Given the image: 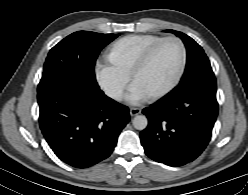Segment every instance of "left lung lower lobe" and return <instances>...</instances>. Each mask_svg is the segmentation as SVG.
<instances>
[{"label":"left lung lower lobe","instance_id":"0a47b994","mask_svg":"<svg viewBox=\"0 0 248 195\" xmlns=\"http://www.w3.org/2000/svg\"><path fill=\"white\" fill-rule=\"evenodd\" d=\"M148 127L140 133L145 153L157 162L181 166L196 159L210 141L218 114L216 86L181 91L145 108Z\"/></svg>","mask_w":248,"mask_h":195}]
</instances>
